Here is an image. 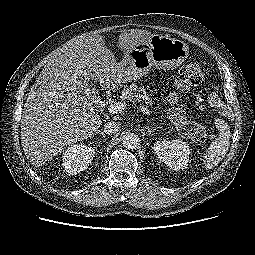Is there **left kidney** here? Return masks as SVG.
I'll return each instance as SVG.
<instances>
[{
  "label": "left kidney",
  "mask_w": 255,
  "mask_h": 255,
  "mask_svg": "<svg viewBox=\"0 0 255 255\" xmlns=\"http://www.w3.org/2000/svg\"><path fill=\"white\" fill-rule=\"evenodd\" d=\"M153 149L159 160L171 170L178 171L187 168L190 149L185 141L181 139L161 140L154 143Z\"/></svg>",
  "instance_id": "obj_1"
}]
</instances>
